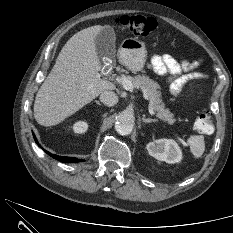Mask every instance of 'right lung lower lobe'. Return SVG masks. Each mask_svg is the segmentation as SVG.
Listing matches in <instances>:
<instances>
[{
    "mask_svg": "<svg viewBox=\"0 0 233 233\" xmlns=\"http://www.w3.org/2000/svg\"><path fill=\"white\" fill-rule=\"evenodd\" d=\"M34 140L35 142L38 144V141L35 137V135L33 134ZM39 145V144H38ZM49 154V152H47ZM52 158L59 160L60 162H64V163H71V162H79V159L73 158V157H63V156H58V155H51L49 154ZM84 161V160H81Z\"/></svg>",
    "mask_w": 233,
    "mask_h": 233,
    "instance_id": "98d812e1",
    "label": "right lung lower lobe"
}]
</instances>
